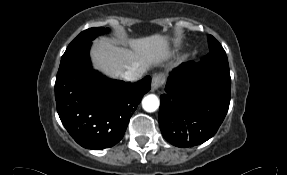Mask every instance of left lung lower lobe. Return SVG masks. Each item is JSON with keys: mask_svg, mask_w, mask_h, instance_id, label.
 Returning <instances> with one entry per match:
<instances>
[{"mask_svg": "<svg viewBox=\"0 0 287 175\" xmlns=\"http://www.w3.org/2000/svg\"><path fill=\"white\" fill-rule=\"evenodd\" d=\"M229 68L192 61L181 64L167 80L159 109L160 129L177 147H192L210 139L230 104Z\"/></svg>", "mask_w": 287, "mask_h": 175, "instance_id": "0a47b994", "label": "left lung lower lobe"}]
</instances>
